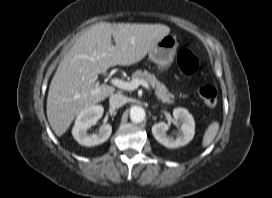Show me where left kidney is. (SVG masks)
<instances>
[{
	"label": "left kidney",
	"mask_w": 272,
	"mask_h": 198,
	"mask_svg": "<svg viewBox=\"0 0 272 198\" xmlns=\"http://www.w3.org/2000/svg\"><path fill=\"white\" fill-rule=\"evenodd\" d=\"M174 120L181 123V133L176 138L167 135L168 125L159 122L152 126L154 138L167 148H178L188 144L194 137L195 122L193 116L184 108L173 110Z\"/></svg>",
	"instance_id": "5707ae66"
}]
</instances>
